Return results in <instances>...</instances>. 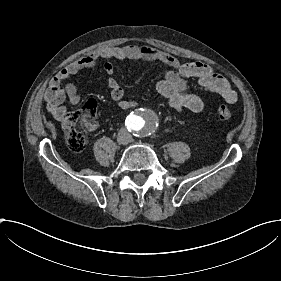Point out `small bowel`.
Here are the masks:
<instances>
[{
  "mask_svg": "<svg viewBox=\"0 0 281 281\" xmlns=\"http://www.w3.org/2000/svg\"><path fill=\"white\" fill-rule=\"evenodd\" d=\"M105 59L150 61L166 65L162 71V78L156 84V89L169 99L171 107L180 115L186 112L198 113L204 109L201 97L188 89L190 78L197 79L205 90L221 95L228 104L237 101V93L230 82L206 63L189 62L180 65L173 55L143 45L104 47L73 62L50 83L45 94V104L55 120L63 123L68 119L69 110L64 105L66 100L71 105H77L81 101L73 83H66L63 88H60L59 84L81 71L94 68L98 61ZM105 71L108 75H112L114 68L111 64H106ZM107 86L111 98L122 110L136 108L135 101L124 97V92L115 78L110 77ZM93 125L96 127L98 124L95 122Z\"/></svg>",
  "mask_w": 281,
  "mask_h": 281,
  "instance_id": "c3829d8e",
  "label": "small bowel"
}]
</instances>
